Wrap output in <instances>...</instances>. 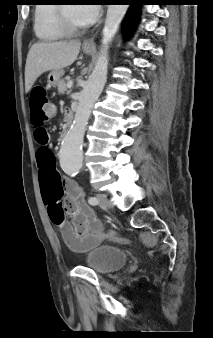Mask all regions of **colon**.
Listing matches in <instances>:
<instances>
[{"instance_id": "5ec220e1", "label": "colon", "mask_w": 213, "mask_h": 338, "mask_svg": "<svg viewBox=\"0 0 213 338\" xmlns=\"http://www.w3.org/2000/svg\"><path fill=\"white\" fill-rule=\"evenodd\" d=\"M30 120L35 127L34 138L40 146L38 152L39 160H43L47 154V145L51 142V133L44 127L46 122H49L55 115V106L49 102L47 91L43 87L35 88L30 95ZM44 178L49 180V175L44 174ZM50 213L55 222L60 224L63 221V207L59 203H55ZM105 239L121 244L129 243V239L116 236L110 233L105 234Z\"/></svg>"}]
</instances>
